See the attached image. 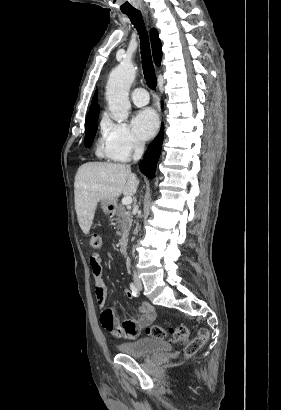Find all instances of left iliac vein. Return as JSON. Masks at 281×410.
Masks as SVG:
<instances>
[{
    "mask_svg": "<svg viewBox=\"0 0 281 410\" xmlns=\"http://www.w3.org/2000/svg\"><path fill=\"white\" fill-rule=\"evenodd\" d=\"M137 288H138V290H142V283L141 282L137 283Z\"/></svg>",
    "mask_w": 281,
    "mask_h": 410,
    "instance_id": "4c4485c4",
    "label": "left iliac vein"
}]
</instances>
